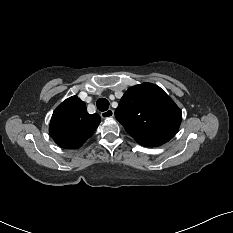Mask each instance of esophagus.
I'll return each mask as SVG.
<instances>
[{
  "instance_id": "esophagus-1",
  "label": "esophagus",
  "mask_w": 233,
  "mask_h": 233,
  "mask_svg": "<svg viewBox=\"0 0 233 233\" xmlns=\"http://www.w3.org/2000/svg\"><path fill=\"white\" fill-rule=\"evenodd\" d=\"M113 116H114V111L112 109H108L101 113V117L103 119L112 118Z\"/></svg>"
}]
</instances>
